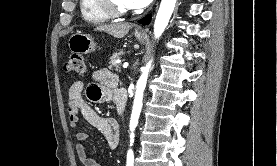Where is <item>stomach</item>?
<instances>
[{"mask_svg": "<svg viewBox=\"0 0 277 166\" xmlns=\"http://www.w3.org/2000/svg\"><path fill=\"white\" fill-rule=\"evenodd\" d=\"M135 37L139 41L144 40V34L135 31ZM69 49L72 53L79 55L89 54L95 50V42L91 35L81 32L74 33L68 41Z\"/></svg>", "mask_w": 277, "mask_h": 166, "instance_id": "obj_1", "label": "stomach"}]
</instances>
